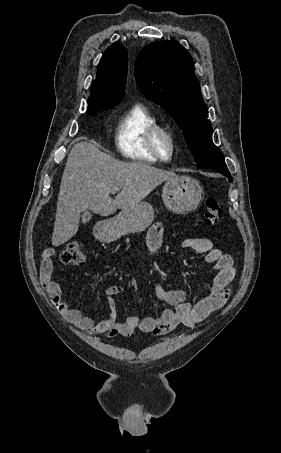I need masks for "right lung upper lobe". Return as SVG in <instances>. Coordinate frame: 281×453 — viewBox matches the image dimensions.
<instances>
[{
	"label": "right lung upper lobe",
	"mask_w": 281,
	"mask_h": 453,
	"mask_svg": "<svg viewBox=\"0 0 281 453\" xmlns=\"http://www.w3.org/2000/svg\"><path fill=\"white\" fill-rule=\"evenodd\" d=\"M128 66L126 48L116 42L103 54L96 80L91 87L88 99V114L111 109L118 105L125 93Z\"/></svg>",
	"instance_id": "cb5924a9"
}]
</instances>
